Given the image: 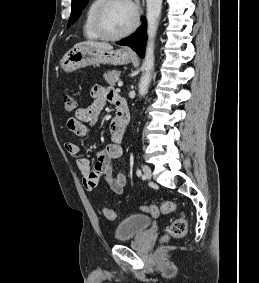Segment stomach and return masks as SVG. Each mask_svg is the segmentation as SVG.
<instances>
[{
    "label": "stomach",
    "mask_w": 259,
    "mask_h": 283,
    "mask_svg": "<svg viewBox=\"0 0 259 283\" xmlns=\"http://www.w3.org/2000/svg\"><path fill=\"white\" fill-rule=\"evenodd\" d=\"M132 55L125 49L107 50L91 46H80L71 49L61 60L65 72L97 64L121 65L131 61Z\"/></svg>",
    "instance_id": "obj_1"
}]
</instances>
